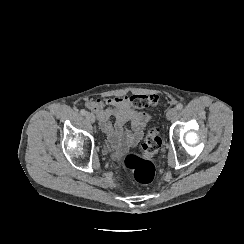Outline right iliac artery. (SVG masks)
<instances>
[{
    "label": "right iliac artery",
    "mask_w": 244,
    "mask_h": 244,
    "mask_svg": "<svg viewBox=\"0 0 244 244\" xmlns=\"http://www.w3.org/2000/svg\"><path fill=\"white\" fill-rule=\"evenodd\" d=\"M80 113L81 115H86L87 111L85 109H81Z\"/></svg>",
    "instance_id": "1"
}]
</instances>
